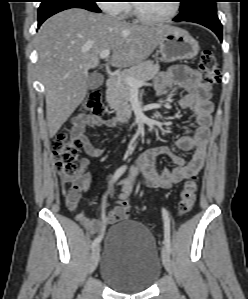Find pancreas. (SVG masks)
Returning a JSON list of instances; mask_svg holds the SVG:
<instances>
[{"label":"pancreas","instance_id":"1","mask_svg":"<svg viewBox=\"0 0 248 299\" xmlns=\"http://www.w3.org/2000/svg\"><path fill=\"white\" fill-rule=\"evenodd\" d=\"M159 69V64L148 60L123 71L107 91L106 100L111 109L122 118L130 117L132 108L129 100L132 88L126 83V78L133 77L146 85L147 81L155 77Z\"/></svg>","mask_w":248,"mask_h":299}]
</instances>
